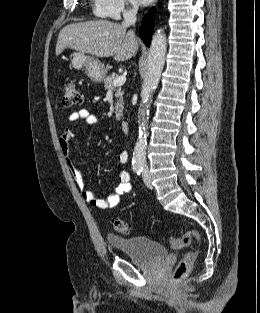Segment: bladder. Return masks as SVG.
Here are the masks:
<instances>
[{"label":"bladder","mask_w":260,"mask_h":313,"mask_svg":"<svg viewBox=\"0 0 260 313\" xmlns=\"http://www.w3.org/2000/svg\"><path fill=\"white\" fill-rule=\"evenodd\" d=\"M106 239L109 246L126 253L137 266L150 267L167 257L163 245L146 237L107 235Z\"/></svg>","instance_id":"1"}]
</instances>
